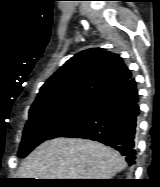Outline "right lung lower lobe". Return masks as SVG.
Masks as SVG:
<instances>
[{"label":"right lung lower lobe","instance_id":"1","mask_svg":"<svg viewBox=\"0 0 160 187\" xmlns=\"http://www.w3.org/2000/svg\"><path fill=\"white\" fill-rule=\"evenodd\" d=\"M139 115L137 84L132 77L100 98L91 112L58 137L83 138L118 150L135 164V136Z\"/></svg>","mask_w":160,"mask_h":187}]
</instances>
